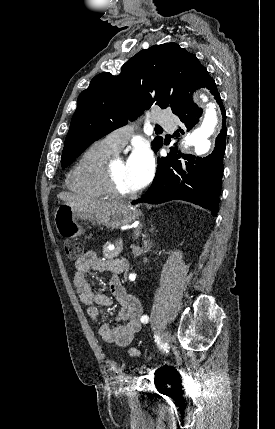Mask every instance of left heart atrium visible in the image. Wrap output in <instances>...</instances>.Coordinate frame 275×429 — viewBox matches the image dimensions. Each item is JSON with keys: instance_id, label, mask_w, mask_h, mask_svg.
<instances>
[{"instance_id": "39dd6f15", "label": "left heart atrium", "mask_w": 275, "mask_h": 429, "mask_svg": "<svg viewBox=\"0 0 275 429\" xmlns=\"http://www.w3.org/2000/svg\"><path fill=\"white\" fill-rule=\"evenodd\" d=\"M129 179L135 190L142 188L149 180L153 170L152 153L145 143L134 146L126 161Z\"/></svg>"}]
</instances>
